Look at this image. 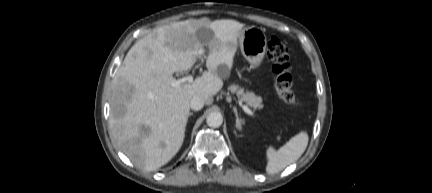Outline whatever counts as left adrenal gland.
Segmentation results:
<instances>
[{"label":"left adrenal gland","instance_id":"1","mask_svg":"<svg viewBox=\"0 0 432 193\" xmlns=\"http://www.w3.org/2000/svg\"><path fill=\"white\" fill-rule=\"evenodd\" d=\"M233 111H234V113H235V117H236V124H235V127L238 129V130H242V124H243V119H241V118H239V116H238V112H237V109L234 107L233 108Z\"/></svg>","mask_w":432,"mask_h":193}]
</instances>
